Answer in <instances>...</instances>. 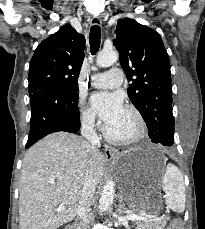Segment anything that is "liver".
I'll return each mask as SVG.
<instances>
[{"instance_id": "obj_1", "label": "liver", "mask_w": 205, "mask_h": 229, "mask_svg": "<svg viewBox=\"0 0 205 229\" xmlns=\"http://www.w3.org/2000/svg\"><path fill=\"white\" fill-rule=\"evenodd\" d=\"M88 161L98 185L105 160L86 140L56 132L34 144L25 154L20 176V229H57L73 220Z\"/></svg>"}]
</instances>
